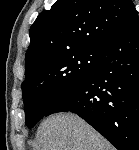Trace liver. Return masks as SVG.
<instances>
[{
	"mask_svg": "<svg viewBox=\"0 0 139 150\" xmlns=\"http://www.w3.org/2000/svg\"><path fill=\"white\" fill-rule=\"evenodd\" d=\"M35 150H113L84 120L74 114L59 113L48 117L38 129Z\"/></svg>",
	"mask_w": 139,
	"mask_h": 150,
	"instance_id": "liver-1",
	"label": "liver"
}]
</instances>
